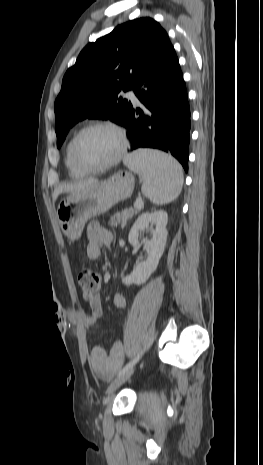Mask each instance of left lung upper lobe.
Returning <instances> with one entry per match:
<instances>
[{"label": "left lung upper lobe", "mask_w": 263, "mask_h": 465, "mask_svg": "<svg viewBox=\"0 0 263 465\" xmlns=\"http://www.w3.org/2000/svg\"><path fill=\"white\" fill-rule=\"evenodd\" d=\"M168 42L160 24L145 17L121 24L88 44L64 75L55 101L57 147L70 128L85 118L122 125L132 105L118 94L133 89Z\"/></svg>", "instance_id": "obj_1"}]
</instances>
